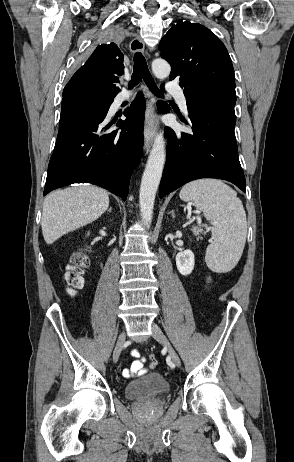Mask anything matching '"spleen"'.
<instances>
[{"label": "spleen", "mask_w": 294, "mask_h": 462, "mask_svg": "<svg viewBox=\"0 0 294 462\" xmlns=\"http://www.w3.org/2000/svg\"><path fill=\"white\" fill-rule=\"evenodd\" d=\"M183 201L194 202L212 221L214 242L206 250L205 261L214 272L232 270L241 258L247 234L246 214L237 193L217 179H200L183 186Z\"/></svg>", "instance_id": "obj_1"}]
</instances>
